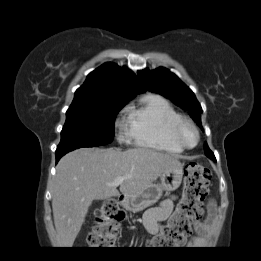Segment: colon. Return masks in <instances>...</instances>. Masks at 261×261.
<instances>
[{"mask_svg":"<svg viewBox=\"0 0 261 261\" xmlns=\"http://www.w3.org/2000/svg\"><path fill=\"white\" fill-rule=\"evenodd\" d=\"M211 181L208 167L192 163L184 171L182 197L169 219L161 226L160 232L151 240L154 248H173L184 242L191 233L194 221L202 215L204 201ZM125 213L114 200L104 201L95 213V225L87 237L92 248H113L117 244L120 226Z\"/></svg>","mask_w":261,"mask_h":261,"instance_id":"5ec220e1","label":"colon"}]
</instances>
